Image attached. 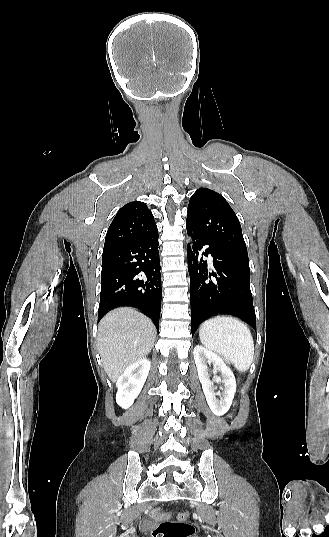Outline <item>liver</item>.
I'll list each match as a JSON object with an SVG mask.
<instances>
[{
  "label": "liver",
  "mask_w": 329,
  "mask_h": 537,
  "mask_svg": "<svg viewBox=\"0 0 329 537\" xmlns=\"http://www.w3.org/2000/svg\"><path fill=\"white\" fill-rule=\"evenodd\" d=\"M156 333L152 321L133 308H117L103 317L98 326L97 346L112 382L150 353Z\"/></svg>",
  "instance_id": "1"
}]
</instances>
